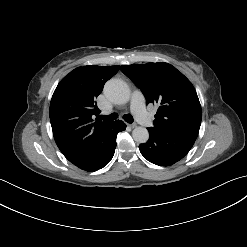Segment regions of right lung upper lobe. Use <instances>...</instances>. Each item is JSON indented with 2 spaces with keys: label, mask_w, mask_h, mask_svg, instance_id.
Here are the masks:
<instances>
[{
  "label": "right lung upper lobe",
  "mask_w": 247,
  "mask_h": 247,
  "mask_svg": "<svg viewBox=\"0 0 247 247\" xmlns=\"http://www.w3.org/2000/svg\"><path fill=\"white\" fill-rule=\"evenodd\" d=\"M119 66L88 65L66 75L56 87L50 103V122L55 142L68 159L84 147L87 137L110 122L92 119L100 113L95 99Z\"/></svg>",
  "instance_id": "cb5924a9"
}]
</instances>
